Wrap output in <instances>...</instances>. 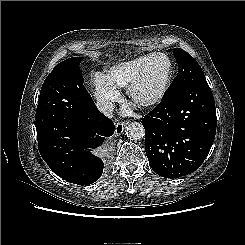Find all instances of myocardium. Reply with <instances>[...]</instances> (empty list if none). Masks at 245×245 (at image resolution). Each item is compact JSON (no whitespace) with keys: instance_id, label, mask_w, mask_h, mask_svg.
I'll use <instances>...</instances> for the list:
<instances>
[{"instance_id":"myocardium-1","label":"myocardium","mask_w":245,"mask_h":245,"mask_svg":"<svg viewBox=\"0 0 245 245\" xmlns=\"http://www.w3.org/2000/svg\"><path fill=\"white\" fill-rule=\"evenodd\" d=\"M154 57H163L166 59L167 61V70H166V74L164 76V79L161 83V86L159 88V90L156 92V94L154 96H152L151 98L148 99H140L138 97V91L140 89V87L143 84L144 78L146 76V72H147V68L149 65V62L152 58ZM172 73H173V66H172V62L170 60V58L162 53V52H154L151 53L148 58L146 59V61L144 62V64L142 65L141 69L139 70L138 74L136 75V77L133 79V81L130 83V85L128 86V97L130 99V101L135 104L138 107L141 108H152L155 107L156 105H158L163 98L165 97L170 83H171V79H172Z\"/></svg>"}]
</instances>
